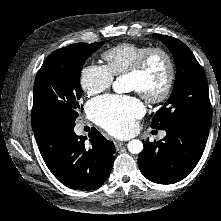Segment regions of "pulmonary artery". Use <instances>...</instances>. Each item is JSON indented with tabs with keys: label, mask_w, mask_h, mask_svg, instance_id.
Wrapping results in <instances>:
<instances>
[{
	"label": "pulmonary artery",
	"mask_w": 221,
	"mask_h": 221,
	"mask_svg": "<svg viewBox=\"0 0 221 221\" xmlns=\"http://www.w3.org/2000/svg\"><path fill=\"white\" fill-rule=\"evenodd\" d=\"M165 136V133H162L161 137L163 138Z\"/></svg>",
	"instance_id": "1"
}]
</instances>
